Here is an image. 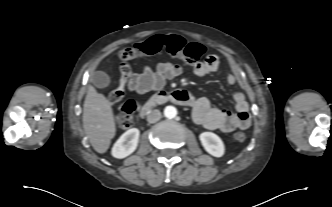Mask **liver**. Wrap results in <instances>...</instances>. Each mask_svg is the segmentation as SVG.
I'll return each mask as SVG.
<instances>
[{
    "instance_id": "liver-1",
    "label": "liver",
    "mask_w": 332,
    "mask_h": 207,
    "mask_svg": "<svg viewBox=\"0 0 332 207\" xmlns=\"http://www.w3.org/2000/svg\"><path fill=\"white\" fill-rule=\"evenodd\" d=\"M83 128L94 150L105 153L115 136L116 125L110 101L90 86L83 106Z\"/></svg>"
}]
</instances>
